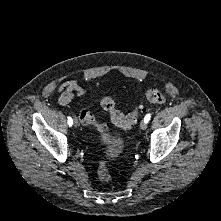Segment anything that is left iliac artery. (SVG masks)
I'll list each match as a JSON object with an SVG mask.
<instances>
[{
	"instance_id": "44dca946",
	"label": "left iliac artery",
	"mask_w": 221,
	"mask_h": 221,
	"mask_svg": "<svg viewBox=\"0 0 221 221\" xmlns=\"http://www.w3.org/2000/svg\"><path fill=\"white\" fill-rule=\"evenodd\" d=\"M150 118H151V114H147V115L144 117V121H145L146 123H148V121L150 120Z\"/></svg>"
}]
</instances>
